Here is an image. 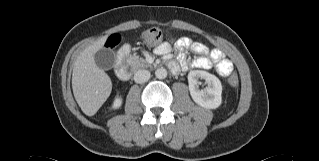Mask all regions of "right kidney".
I'll use <instances>...</instances> for the list:
<instances>
[{"instance_id":"obj_1","label":"right kidney","mask_w":319,"mask_h":161,"mask_svg":"<svg viewBox=\"0 0 319 161\" xmlns=\"http://www.w3.org/2000/svg\"><path fill=\"white\" fill-rule=\"evenodd\" d=\"M122 105V98L121 97H116L113 101V104H112V108L113 109H118L120 108Z\"/></svg>"}]
</instances>
